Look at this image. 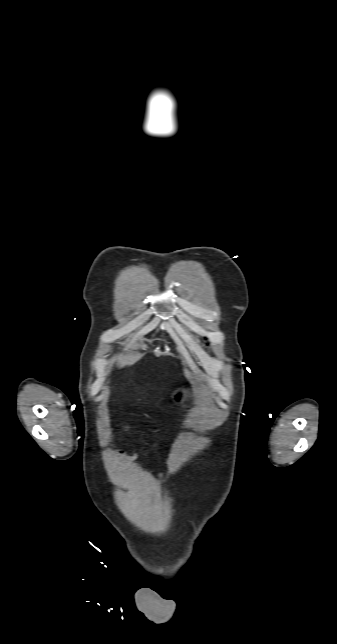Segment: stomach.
<instances>
[{
  "mask_svg": "<svg viewBox=\"0 0 337 644\" xmlns=\"http://www.w3.org/2000/svg\"><path fill=\"white\" fill-rule=\"evenodd\" d=\"M196 397L194 388H178L171 396L172 401L177 405L188 406L192 404Z\"/></svg>",
  "mask_w": 337,
  "mask_h": 644,
  "instance_id": "0dacf381",
  "label": "stomach"
}]
</instances>
